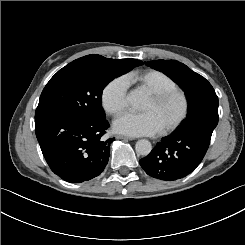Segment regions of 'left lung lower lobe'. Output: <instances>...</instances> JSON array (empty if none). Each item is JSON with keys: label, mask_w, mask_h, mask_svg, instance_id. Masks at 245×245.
Here are the masks:
<instances>
[{"label": "left lung lower lobe", "mask_w": 245, "mask_h": 245, "mask_svg": "<svg viewBox=\"0 0 245 245\" xmlns=\"http://www.w3.org/2000/svg\"><path fill=\"white\" fill-rule=\"evenodd\" d=\"M218 123V97L211 89L189 108L179 127L160 142L139 163L153 178L182 179L201 163Z\"/></svg>", "instance_id": "0a47b994"}]
</instances>
